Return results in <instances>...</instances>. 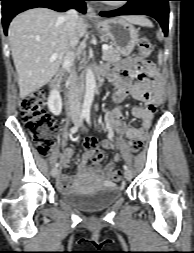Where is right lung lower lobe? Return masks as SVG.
Here are the masks:
<instances>
[{
  "label": "right lung lower lobe",
  "instance_id": "right-lung-lower-lobe-1",
  "mask_svg": "<svg viewBox=\"0 0 194 253\" xmlns=\"http://www.w3.org/2000/svg\"><path fill=\"white\" fill-rule=\"evenodd\" d=\"M2 1V23L5 34L10 21L18 13L36 7L50 8L56 11H66L75 8L81 13L86 12V0H0Z\"/></svg>",
  "mask_w": 194,
  "mask_h": 253
}]
</instances>
